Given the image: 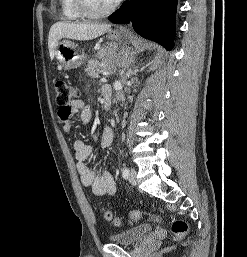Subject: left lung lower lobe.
<instances>
[{
  "label": "left lung lower lobe",
  "mask_w": 247,
  "mask_h": 257,
  "mask_svg": "<svg viewBox=\"0 0 247 257\" xmlns=\"http://www.w3.org/2000/svg\"><path fill=\"white\" fill-rule=\"evenodd\" d=\"M177 0H130L111 14L114 23L132 22L134 30L144 38L173 48Z\"/></svg>",
  "instance_id": "1"
}]
</instances>
